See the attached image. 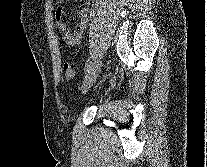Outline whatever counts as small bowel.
Returning <instances> with one entry per match:
<instances>
[{
	"label": "small bowel",
	"instance_id": "c3829d8e",
	"mask_svg": "<svg viewBox=\"0 0 207 167\" xmlns=\"http://www.w3.org/2000/svg\"><path fill=\"white\" fill-rule=\"evenodd\" d=\"M88 12H89V0H83L81 3L77 15L80 19V24L75 30H71L67 22L64 20V7L59 4L56 11L57 27L61 32L63 41L69 46L77 45L83 36L85 28L88 22Z\"/></svg>",
	"mask_w": 207,
	"mask_h": 167
}]
</instances>
